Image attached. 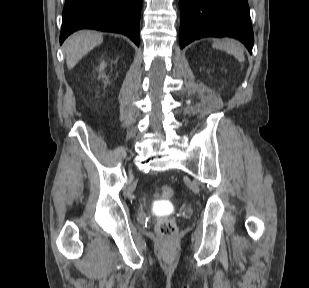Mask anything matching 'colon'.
Wrapping results in <instances>:
<instances>
[{
	"instance_id": "5ec220e1",
	"label": "colon",
	"mask_w": 309,
	"mask_h": 288,
	"mask_svg": "<svg viewBox=\"0 0 309 288\" xmlns=\"http://www.w3.org/2000/svg\"><path fill=\"white\" fill-rule=\"evenodd\" d=\"M173 189L168 185H163L157 190V197L159 199H168L172 196ZM177 232L176 224L171 219L162 220L157 227V233L162 239H171Z\"/></svg>"
}]
</instances>
